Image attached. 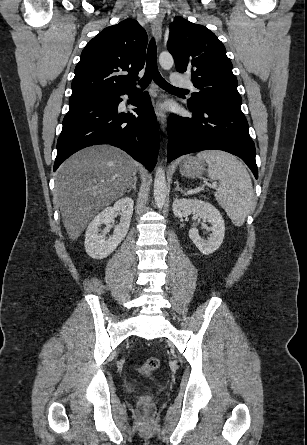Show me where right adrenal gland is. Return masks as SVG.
Wrapping results in <instances>:
<instances>
[{
  "label": "right adrenal gland",
  "instance_id": "obj_1",
  "mask_svg": "<svg viewBox=\"0 0 307 445\" xmlns=\"http://www.w3.org/2000/svg\"><path fill=\"white\" fill-rule=\"evenodd\" d=\"M136 182H137V176H135L134 180H133V184H131L129 190H127V192H131L132 188H134L135 192H136Z\"/></svg>",
  "mask_w": 307,
  "mask_h": 445
}]
</instances>
